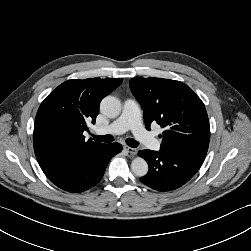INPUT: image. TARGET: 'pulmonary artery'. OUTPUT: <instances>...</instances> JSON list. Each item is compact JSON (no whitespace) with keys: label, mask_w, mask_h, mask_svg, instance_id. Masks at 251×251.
I'll use <instances>...</instances> for the list:
<instances>
[{"label":"pulmonary artery","mask_w":251,"mask_h":251,"mask_svg":"<svg viewBox=\"0 0 251 251\" xmlns=\"http://www.w3.org/2000/svg\"><path fill=\"white\" fill-rule=\"evenodd\" d=\"M131 130L134 136L152 150L160 149V141L145 130L140 118V108L135 99L127 98L123 103L121 115L110 125L96 128L97 135L121 134Z\"/></svg>","instance_id":"1"}]
</instances>
